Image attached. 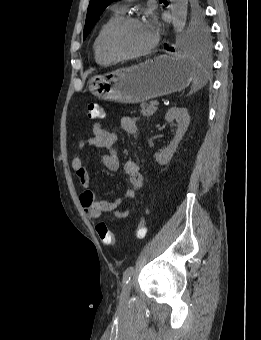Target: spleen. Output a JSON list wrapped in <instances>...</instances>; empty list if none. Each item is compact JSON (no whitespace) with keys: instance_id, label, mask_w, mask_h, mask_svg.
Wrapping results in <instances>:
<instances>
[{"instance_id":"3e777b00","label":"spleen","mask_w":261,"mask_h":340,"mask_svg":"<svg viewBox=\"0 0 261 340\" xmlns=\"http://www.w3.org/2000/svg\"><path fill=\"white\" fill-rule=\"evenodd\" d=\"M195 65V64H194ZM205 76H204V71L199 65H195V74L193 77V85H192V90L197 91L200 88H202L205 84Z\"/></svg>"}]
</instances>
